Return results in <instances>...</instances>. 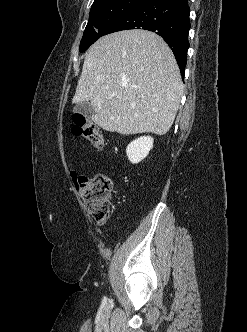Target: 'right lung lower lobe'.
<instances>
[{
  "instance_id": "98d812e1",
  "label": "right lung lower lobe",
  "mask_w": 247,
  "mask_h": 332,
  "mask_svg": "<svg viewBox=\"0 0 247 332\" xmlns=\"http://www.w3.org/2000/svg\"><path fill=\"white\" fill-rule=\"evenodd\" d=\"M189 14L188 0H147L113 22L103 35L129 29L159 34L172 49L184 78L191 26Z\"/></svg>"
}]
</instances>
